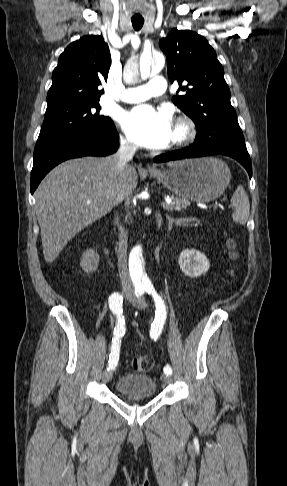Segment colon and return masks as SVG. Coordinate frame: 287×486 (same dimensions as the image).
Listing matches in <instances>:
<instances>
[{
    "label": "colon",
    "instance_id": "obj_1",
    "mask_svg": "<svg viewBox=\"0 0 287 486\" xmlns=\"http://www.w3.org/2000/svg\"><path fill=\"white\" fill-rule=\"evenodd\" d=\"M228 248L233 258L236 257L235 244L232 240L228 242ZM131 367L138 372H148L153 368V360L149 356H136L130 360Z\"/></svg>",
    "mask_w": 287,
    "mask_h": 486
}]
</instances>
